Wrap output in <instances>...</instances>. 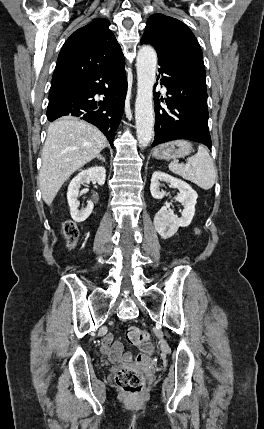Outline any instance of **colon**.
I'll list each match as a JSON object with an SVG mask.
<instances>
[{
    "label": "colon",
    "mask_w": 264,
    "mask_h": 429,
    "mask_svg": "<svg viewBox=\"0 0 264 429\" xmlns=\"http://www.w3.org/2000/svg\"><path fill=\"white\" fill-rule=\"evenodd\" d=\"M63 235L69 247H74L79 239L80 232L78 226L67 221L63 226ZM127 341L134 346H144L149 340V334L146 330L138 327H130L126 332ZM115 383L124 392L130 395H138L144 388V376L134 368H120L115 376Z\"/></svg>",
    "instance_id": "obj_1"
}]
</instances>
